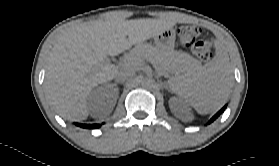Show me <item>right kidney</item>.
<instances>
[{"label": "right kidney", "instance_id": "right-kidney-1", "mask_svg": "<svg viewBox=\"0 0 279 166\" xmlns=\"http://www.w3.org/2000/svg\"><path fill=\"white\" fill-rule=\"evenodd\" d=\"M118 93L119 92H118L117 88H115L113 90L111 87H108V86L98 87L88 95V102L91 105H95V104L100 103L103 99H106V98L116 99L118 96Z\"/></svg>", "mask_w": 279, "mask_h": 166}]
</instances>
